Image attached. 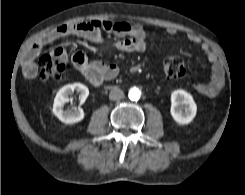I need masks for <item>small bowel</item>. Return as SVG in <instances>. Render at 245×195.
Listing matches in <instances>:
<instances>
[{"instance_id": "c3829d8e", "label": "small bowel", "mask_w": 245, "mask_h": 195, "mask_svg": "<svg viewBox=\"0 0 245 195\" xmlns=\"http://www.w3.org/2000/svg\"><path fill=\"white\" fill-rule=\"evenodd\" d=\"M104 32L110 33L117 38L113 45L119 50L143 52L146 49L147 35L141 24L114 22L110 20H93L64 24L50 30L30 46L23 63L25 76L29 79L36 76L37 67L35 58L45 46L67 36H76L94 43H103L105 41L103 36ZM167 32L173 35L176 33V30L169 28ZM187 38L192 43L200 46L212 66L210 80L207 83H196L194 89L201 95L214 97L220 92L225 83L223 66L209 44L203 41L201 37L194 33H189L187 34ZM51 53L54 57H59L63 60L68 58L65 49L61 46L54 48ZM72 63L93 85H100L105 81L111 80L119 72L116 64H108L100 60H88L81 52H77L72 56Z\"/></svg>"}]
</instances>
